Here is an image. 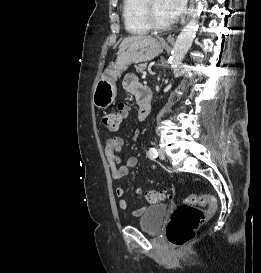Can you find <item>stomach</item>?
Wrapping results in <instances>:
<instances>
[{
	"instance_id": "obj_1",
	"label": "stomach",
	"mask_w": 261,
	"mask_h": 273,
	"mask_svg": "<svg viewBox=\"0 0 261 273\" xmlns=\"http://www.w3.org/2000/svg\"><path fill=\"white\" fill-rule=\"evenodd\" d=\"M164 43L155 38L136 40L120 47L117 59L94 84L93 103L99 109L108 108L117 94V79L132 63L150 61L162 53Z\"/></svg>"
}]
</instances>
